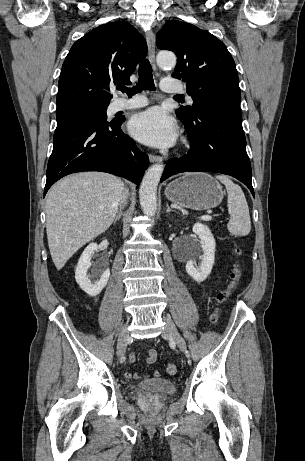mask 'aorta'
<instances>
[{
    "label": "aorta",
    "mask_w": 305,
    "mask_h": 461,
    "mask_svg": "<svg viewBox=\"0 0 305 461\" xmlns=\"http://www.w3.org/2000/svg\"><path fill=\"white\" fill-rule=\"evenodd\" d=\"M157 63L162 68H173L176 65V56L171 52H160ZM162 164L152 165L145 173L139 190V199L142 211L147 216H154L157 209V186L163 173Z\"/></svg>",
    "instance_id": "obj_1"
}]
</instances>
